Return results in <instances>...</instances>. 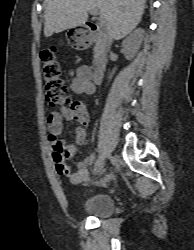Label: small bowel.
<instances>
[{"mask_svg":"<svg viewBox=\"0 0 194 250\" xmlns=\"http://www.w3.org/2000/svg\"><path fill=\"white\" fill-rule=\"evenodd\" d=\"M91 75L92 73L88 66L83 65L79 67L71 82L72 91L79 95H93L95 84ZM73 120L77 121L79 125L75 129V143L69 144L60 140L59 136L62 133L64 122ZM89 120V112L81 101L75 103L72 107L51 112L47 119L55 169L58 174L68 177L73 184H79L88 180L90 167L93 163V157L88 156L77 164L76 171H71L65 163L66 159L73 157L78 152L79 146L85 142Z\"/></svg>","mask_w":194,"mask_h":250,"instance_id":"obj_1","label":"small bowel"}]
</instances>
